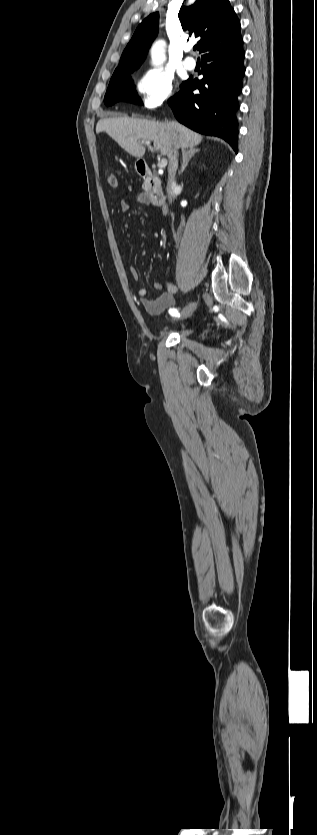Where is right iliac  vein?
<instances>
[{"instance_id": "obj_1", "label": "right iliac vein", "mask_w": 317, "mask_h": 835, "mask_svg": "<svg viewBox=\"0 0 317 835\" xmlns=\"http://www.w3.org/2000/svg\"><path fill=\"white\" fill-rule=\"evenodd\" d=\"M195 309H196V303L189 304L181 311V316L182 317H189L190 315H192V313L195 311Z\"/></svg>"}]
</instances>
